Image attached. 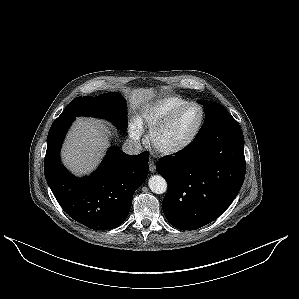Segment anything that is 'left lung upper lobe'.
I'll return each instance as SVG.
<instances>
[{
  "mask_svg": "<svg viewBox=\"0 0 299 299\" xmlns=\"http://www.w3.org/2000/svg\"><path fill=\"white\" fill-rule=\"evenodd\" d=\"M198 103L204 105L206 114H205L204 124L200 128L195 139L202 136L207 130L214 127L221 120L231 116V114H229V112L221 104L215 102H206V101H198Z\"/></svg>",
  "mask_w": 299,
  "mask_h": 299,
  "instance_id": "5c2ea615",
  "label": "left lung upper lobe"
}]
</instances>
